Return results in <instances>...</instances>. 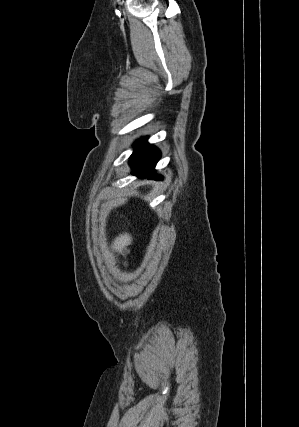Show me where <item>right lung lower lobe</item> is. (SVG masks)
<instances>
[{
  "mask_svg": "<svg viewBox=\"0 0 299 427\" xmlns=\"http://www.w3.org/2000/svg\"><path fill=\"white\" fill-rule=\"evenodd\" d=\"M160 158V151L145 141H140L135 146V150L130 158L132 174L149 179H160L155 174V165Z\"/></svg>",
  "mask_w": 299,
  "mask_h": 427,
  "instance_id": "98d812e1",
  "label": "right lung lower lobe"
}]
</instances>
